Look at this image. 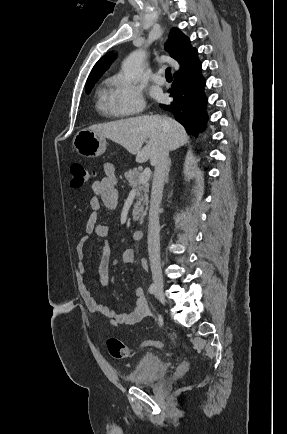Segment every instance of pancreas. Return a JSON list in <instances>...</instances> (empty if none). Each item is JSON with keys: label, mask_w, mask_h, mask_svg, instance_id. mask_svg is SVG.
<instances>
[{"label": "pancreas", "mask_w": 287, "mask_h": 434, "mask_svg": "<svg viewBox=\"0 0 287 434\" xmlns=\"http://www.w3.org/2000/svg\"><path fill=\"white\" fill-rule=\"evenodd\" d=\"M140 175L141 173L137 169H131L125 173V178L128 181L129 186L136 189V203L134 204L132 212L133 220L135 221H143L148 208L149 199V184L147 182L138 184Z\"/></svg>", "instance_id": "1"}]
</instances>
